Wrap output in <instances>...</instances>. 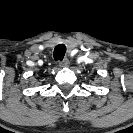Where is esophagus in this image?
I'll return each mask as SVG.
<instances>
[{
    "instance_id": "obj_1",
    "label": "esophagus",
    "mask_w": 133,
    "mask_h": 133,
    "mask_svg": "<svg viewBox=\"0 0 133 133\" xmlns=\"http://www.w3.org/2000/svg\"><path fill=\"white\" fill-rule=\"evenodd\" d=\"M69 65V60L67 58H64L59 62L60 67H67Z\"/></svg>"
}]
</instances>
